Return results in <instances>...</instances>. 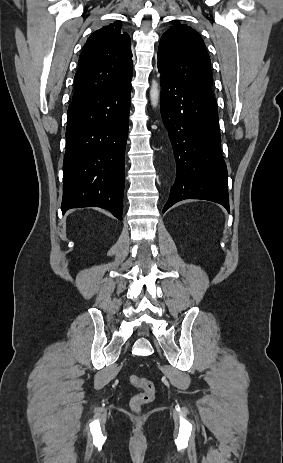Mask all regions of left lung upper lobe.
<instances>
[{"instance_id": "5c2ea615", "label": "left lung upper lobe", "mask_w": 283, "mask_h": 463, "mask_svg": "<svg viewBox=\"0 0 283 463\" xmlns=\"http://www.w3.org/2000/svg\"><path fill=\"white\" fill-rule=\"evenodd\" d=\"M173 26L161 37L158 65L198 94L215 100L212 94L213 76L206 46L196 30L172 22Z\"/></svg>"}]
</instances>
